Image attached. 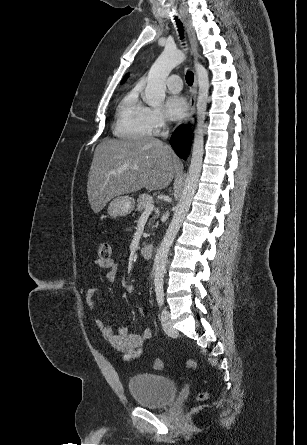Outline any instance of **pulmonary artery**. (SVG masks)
Returning <instances> with one entry per match:
<instances>
[{
    "mask_svg": "<svg viewBox=\"0 0 307 445\" xmlns=\"http://www.w3.org/2000/svg\"><path fill=\"white\" fill-rule=\"evenodd\" d=\"M182 75L178 71H173L167 81V86L172 92H179L183 84L181 81H174V80H181Z\"/></svg>",
    "mask_w": 307,
    "mask_h": 445,
    "instance_id": "pulmonary-artery-1",
    "label": "pulmonary artery"
}]
</instances>
